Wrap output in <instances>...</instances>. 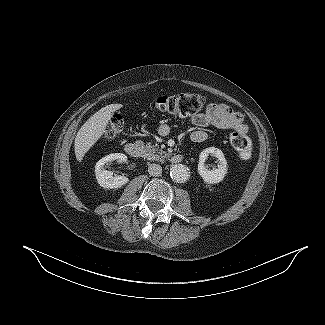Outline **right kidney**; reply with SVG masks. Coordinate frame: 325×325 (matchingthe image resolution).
Returning a JSON list of instances; mask_svg holds the SVG:
<instances>
[{"label": "right kidney", "instance_id": "ca27d5eb", "mask_svg": "<svg viewBox=\"0 0 325 325\" xmlns=\"http://www.w3.org/2000/svg\"><path fill=\"white\" fill-rule=\"evenodd\" d=\"M126 161L127 156L122 153H113L109 154L102 159H100L95 166V175L98 184L103 188L113 189V188H120L123 185L127 184L129 179L126 176H116L113 177L112 171L105 170V164L114 161Z\"/></svg>", "mask_w": 325, "mask_h": 325}]
</instances>
